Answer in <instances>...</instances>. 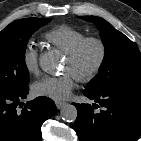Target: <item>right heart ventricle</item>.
<instances>
[{
    "mask_svg": "<svg viewBox=\"0 0 141 141\" xmlns=\"http://www.w3.org/2000/svg\"><path fill=\"white\" fill-rule=\"evenodd\" d=\"M43 37L50 45L68 53L84 39L86 35L76 27L60 25L48 30Z\"/></svg>",
    "mask_w": 141,
    "mask_h": 141,
    "instance_id": "1",
    "label": "right heart ventricle"
}]
</instances>
